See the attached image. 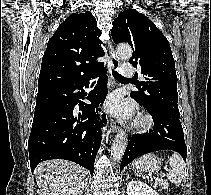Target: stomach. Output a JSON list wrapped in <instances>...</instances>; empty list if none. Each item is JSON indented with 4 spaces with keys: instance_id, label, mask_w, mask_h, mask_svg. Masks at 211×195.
<instances>
[{
    "instance_id": "obj_1",
    "label": "stomach",
    "mask_w": 211,
    "mask_h": 195,
    "mask_svg": "<svg viewBox=\"0 0 211 195\" xmlns=\"http://www.w3.org/2000/svg\"><path fill=\"white\" fill-rule=\"evenodd\" d=\"M160 165L161 160L155 154L149 153L135 160L132 167L136 171L152 173L159 170Z\"/></svg>"
}]
</instances>
